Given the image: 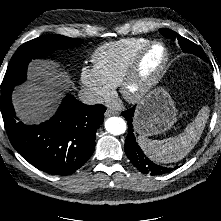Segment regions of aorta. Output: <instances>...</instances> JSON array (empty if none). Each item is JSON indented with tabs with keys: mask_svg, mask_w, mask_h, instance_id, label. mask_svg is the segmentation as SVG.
<instances>
[{
	"mask_svg": "<svg viewBox=\"0 0 221 221\" xmlns=\"http://www.w3.org/2000/svg\"><path fill=\"white\" fill-rule=\"evenodd\" d=\"M126 122L121 117H110L105 121V129L112 135H120L126 131Z\"/></svg>",
	"mask_w": 221,
	"mask_h": 221,
	"instance_id": "obj_1",
	"label": "aorta"
}]
</instances>
